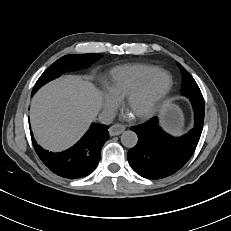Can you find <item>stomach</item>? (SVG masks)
<instances>
[{"label":"stomach","mask_w":231,"mask_h":231,"mask_svg":"<svg viewBox=\"0 0 231 231\" xmlns=\"http://www.w3.org/2000/svg\"><path fill=\"white\" fill-rule=\"evenodd\" d=\"M161 124L169 133L178 135L183 130V114L180 108L168 101L165 103L160 111Z\"/></svg>","instance_id":"1"}]
</instances>
